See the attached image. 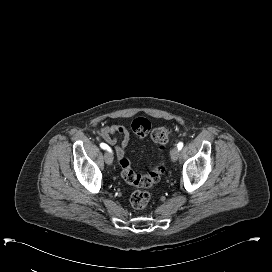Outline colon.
I'll list each match as a JSON object with an SVG mask.
<instances>
[{
  "label": "colon",
  "instance_id": "5ec220e1",
  "mask_svg": "<svg viewBox=\"0 0 272 272\" xmlns=\"http://www.w3.org/2000/svg\"><path fill=\"white\" fill-rule=\"evenodd\" d=\"M134 134L139 138L150 135L151 139L157 145L163 147L171 137L172 129L168 125H159L153 127L150 120L144 117H138L131 123ZM122 177L129 183L140 187L150 188L156 184L165 171L163 163H158L146 175L136 174L131 166V162L127 157H123L119 161ZM150 196L144 190L135 191L130 198V204L134 210L143 211L148 206Z\"/></svg>",
  "mask_w": 272,
  "mask_h": 272
}]
</instances>
